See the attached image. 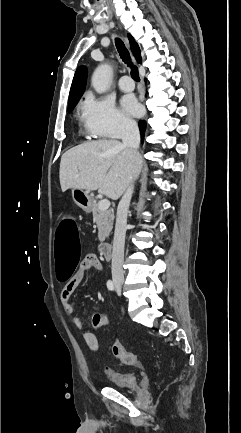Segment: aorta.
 <instances>
[{"mask_svg":"<svg viewBox=\"0 0 241 433\" xmlns=\"http://www.w3.org/2000/svg\"><path fill=\"white\" fill-rule=\"evenodd\" d=\"M112 73V67L107 63L101 64L96 68L91 83L97 93H105L109 89Z\"/></svg>","mask_w":241,"mask_h":433,"instance_id":"1","label":"aorta"}]
</instances>
